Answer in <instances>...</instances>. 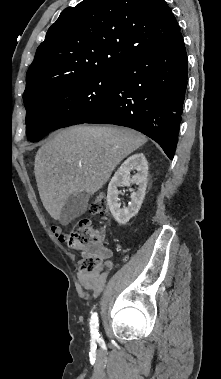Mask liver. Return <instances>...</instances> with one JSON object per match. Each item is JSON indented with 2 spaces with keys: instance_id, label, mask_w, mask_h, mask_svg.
Wrapping results in <instances>:
<instances>
[{
  "instance_id": "obj_1",
  "label": "liver",
  "mask_w": 221,
  "mask_h": 379,
  "mask_svg": "<svg viewBox=\"0 0 221 379\" xmlns=\"http://www.w3.org/2000/svg\"><path fill=\"white\" fill-rule=\"evenodd\" d=\"M147 142L131 129L115 126H75L56 133L35 157L34 173L41 201L58 220L73 194H94L115 167Z\"/></svg>"
}]
</instances>
